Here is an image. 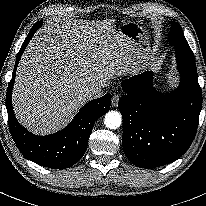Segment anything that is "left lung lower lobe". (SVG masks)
<instances>
[{"label": "left lung lower lobe", "mask_w": 206, "mask_h": 206, "mask_svg": "<svg viewBox=\"0 0 206 206\" xmlns=\"http://www.w3.org/2000/svg\"><path fill=\"white\" fill-rule=\"evenodd\" d=\"M180 86L169 96L152 84L146 71L122 84L119 100L123 117L122 145L126 157L141 168L166 165L182 156L192 144L202 108V91L196 65L177 59Z\"/></svg>", "instance_id": "obj_1"}]
</instances>
